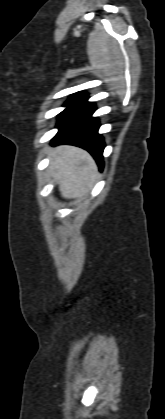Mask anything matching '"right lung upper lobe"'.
<instances>
[{"mask_svg": "<svg viewBox=\"0 0 165 419\" xmlns=\"http://www.w3.org/2000/svg\"><path fill=\"white\" fill-rule=\"evenodd\" d=\"M80 95H82L83 97H86L87 96V94H84V93H80Z\"/></svg>", "mask_w": 165, "mask_h": 419, "instance_id": "obj_1", "label": "right lung upper lobe"}]
</instances>
